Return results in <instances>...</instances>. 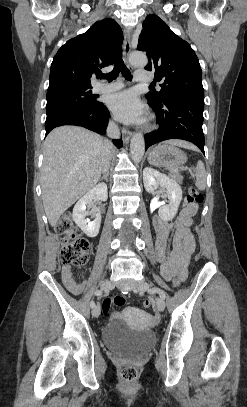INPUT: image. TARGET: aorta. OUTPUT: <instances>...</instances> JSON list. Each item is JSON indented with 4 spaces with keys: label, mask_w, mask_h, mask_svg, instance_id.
Returning <instances> with one entry per match:
<instances>
[{
    "label": "aorta",
    "mask_w": 247,
    "mask_h": 407,
    "mask_svg": "<svg viewBox=\"0 0 247 407\" xmlns=\"http://www.w3.org/2000/svg\"><path fill=\"white\" fill-rule=\"evenodd\" d=\"M131 65L136 67H144L148 63L146 54L142 52H133L129 57ZM145 142L141 133H135L130 141V153L134 162L139 163L144 155Z\"/></svg>",
    "instance_id": "aorta-1"
}]
</instances>
